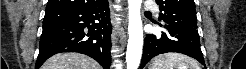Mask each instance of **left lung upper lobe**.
Segmentation results:
<instances>
[{
    "mask_svg": "<svg viewBox=\"0 0 246 69\" xmlns=\"http://www.w3.org/2000/svg\"><path fill=\"white\" fill-rule=\"evenodd\" d=\"M160 11L159 20L166 24L189 26L197 29L194 0H156Z\"/></svg>",
    "mask_w": 246,
    "mask_h": 69,
    "instance_id": "5c2ea615",
    "label": "left lung upper lobe"
}]
</instances>
